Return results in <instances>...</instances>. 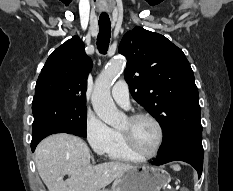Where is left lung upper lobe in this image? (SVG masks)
<instances>
[{
	"instance_id": "obj_1",
	"label": "left lung upper lobe",
	"mask_w": 233,
	"mask_h": 191,
	"mask_svg": "<svg viewBox=\"0 0 233 191\" xmlns=\"http://www.w3.org/2000/svg\"><path fill=\"white\" fill-rule=\"evenodd\" d=\"M118 51L127 58L124 75L133 98L163 129L160 152L181 135L202 132L198 89L181 49L137 26L123 36Z\"/></svg>"
}]
</instances>
